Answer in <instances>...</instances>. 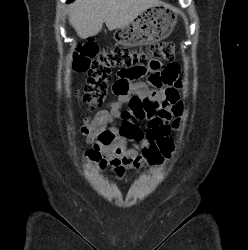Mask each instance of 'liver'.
I'll return each mask as SVG.
<instances>
[{"instance_id": "1", "label": "liver", "mask_w": 248, "mask_h": 250, "mask_svg": "<svg viewBox=\"0 0 248 250\" xmlns=\"http://www.w3.org/2000/svg\"><path fill=\"white\" fill-rule=\"evenodd\" d=\"M161 4L160 0H75L68 6L69 22L85 39L97 35L103 23L113 31L130 24L147 8Z\"/></svg>"}]
</instances>
